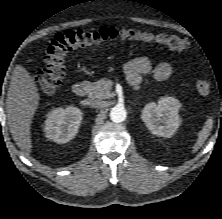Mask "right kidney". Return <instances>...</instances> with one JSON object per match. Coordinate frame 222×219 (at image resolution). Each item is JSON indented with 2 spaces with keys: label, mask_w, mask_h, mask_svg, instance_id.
<instances>
[{
  "label": "right kidney",
  "mask_w": 222,
  "mask_h": 219,
  "mask_svg": "<svg viewBox=\"0 0 222 219\" xmlns=\"http://www.w3.org/2000/svg\"><path fill=\"white\" fill-rule=\"evenodd\" d=\"M82 121V112L74 106L52 109L44 124L45 136L58 143L64 144L75 137Z\"/></svg>",
  "instance_id": "obj_1"
}]
</instances>
